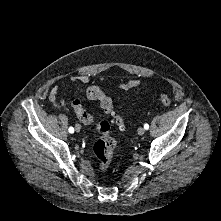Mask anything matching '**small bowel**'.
Here are the masks:
<instances>
[{"label":"small bowel","instance_id":"obj_1","mask_svg":"<svg viewBox=\"0 0 221 221\" xmlns=\"http://www.w3.org/2000/svg\"><path fill=\"white\" fill-rule=\"evenodd\" d=\"M91 81V77L88 74H83L71 78V82L74 84H87ZM141 84L139 79H129L119 83V88L124 92H130L134 88L138 87ZM49 101L53 104L54 107L60 108L63 106V102L58 99V89L57 87L53 88L49 94Z\"/></svg>","mask_w":221,"mask_h":221}]
</instances>
